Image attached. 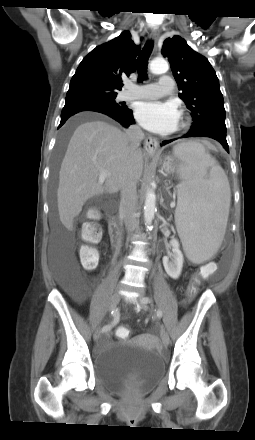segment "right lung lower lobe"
I'll use <instances>...</instances> for the list:
<instances>
[{"instance_id":"98d812e1","label":"right lung lower lobe","mask_w":255,"mask_h":440,"mask_svg":"<svg viewBox=\"0 0 255 440\" xmlns=\"http://www.w3.org/2000/svg\"><path fill=\"white\" fill-rule=\"evenodd\" d=\"M83 111H94L106 114L118 121L124 127H129L131 124H135L132 110L128 109L126 106L115 107L106 102L98 100L81 99L65 103L61 113V122L59 127H61L69 117Z\"/></svg>"}]
</instances>
